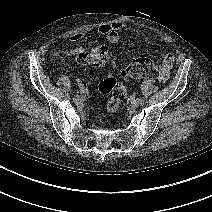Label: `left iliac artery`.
Here are the masks:
<instances>
[{"label":"left iliac artery","mask_w":212,"mask_h":212,"mask_svg":"<svg viewBox=\"0 0 212 212\" xmlns=\"http://www.w3.org/2000/svg\"><path fill=\"white\" fill-rule=\"evenodd\" d=\"M138 102L140 105H145V100L143 98H138Z\"/></svg>","instance_id":"1"}]
</instances>
